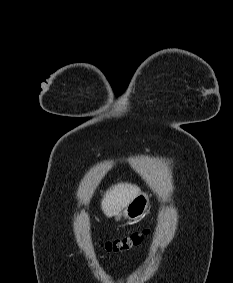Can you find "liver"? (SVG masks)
<instances>
[{
  "instance_id": "6515ba94",
  "label": "liver",
  "mask_w": 233,
  "mask_h": 283,
  "mask_svg": "<svg viewBox=\"0 0 233 283\" xmlns=\"http://www.w3.org/2000/svg\"><path fill=\"white\" fill-rule=\"evenodd\" d=\"M141 190L138 186L130 183H118L106 191L101 209L107 217H112L121 212Z\"/></svg>"
}]
</instances>
